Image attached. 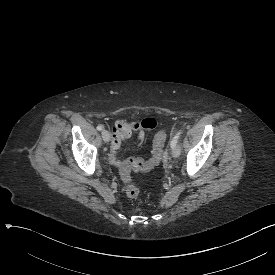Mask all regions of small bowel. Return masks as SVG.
Masks as SVG:
<instances>
[{
	"label": "small bowel",
	"instance_id": "small-bowel-1",
	"mask_svg": "<svg viewBox=\"0 0 275 275\" xmlns=\"http://www.w3.org/2000/svg\"><path fill=\"white\" fill-rule=\"evenodd\" d=\"M113 125L110 129L112 135H114L109 160L114 165H119L120 160L118 159V153L121 148V142L125 139H130L132 137V132L138 133V141L141 143L144 140V132L151 131L158 128L159 123L155 119L146 118L141 121V123H137L135 121L127 122L120 118L114 120Z\"/></svg>",
	"mask_w": 275,
	"mask_h": 275
}]
</instances>
